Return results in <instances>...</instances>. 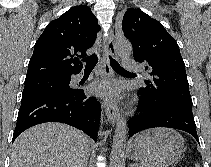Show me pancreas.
<instances>
[{
  "mask_svg": "<svg viewBox=\"0 0 211 167\" xmlns=\"http://www.w3.org/2000/svg\"><path fill=\"white\" fill-rule=\"evenodd\" d=\"M131 167H143L142 165H131Z\"/></svg>",
  "mask_w": 211,
  "mask_h": 167,
  "instance_id": "cf45deb5",
  "label": "pancreas"
}]
</instances>
